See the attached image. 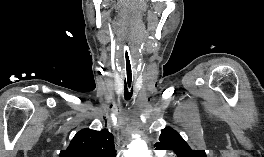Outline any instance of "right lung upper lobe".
<instances>
[{"label":"right lung upper lobe","instance_id":"1","mask_svg":"<svg viewBox=\"0 0 264 157\" xmlns=\"http://www.w3.org/2000/svg\"><path fill=\"white\" fill-rule=\"evenodd\" d=\"M60 157H116L113 135L106 129H82L72 139Z\"/></svg>","mask_w":264,"mask_h":157}]
</instances>
